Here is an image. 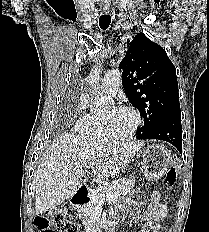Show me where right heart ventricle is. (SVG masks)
Here are the masks:
<instances>
[{
    "mask_svg": "<svg viewBox=\"0 0 209 232\" xmlns=\"http://www.w3.org/2000/svg\"><path fill=\"white\" fill-rule=\"evenodd\" d=\"M77 129L87 139L97 141L106 139L102 129V116L95 111L84 114L80 119Z\"/></svg>",
    "mask_w": 209,
    "mask_h": 232,
    "instance_id": "1",
    "label": "right heart ventricle"
}]
</instances>
